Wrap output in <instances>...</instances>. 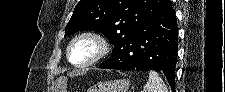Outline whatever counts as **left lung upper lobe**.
<instances>
[{
	"mask_svg": "<svg viewBox=\"0 0 225 92\" xmlns=\"http://www.w3.org/2000/svg\"><path fill=\"white\" fill-rule=\"evenodd\" d=\"M167 1L81 0L65 28V36L83 30L101 32L114 45V55Z\"/></svg>",
	"mask_w": 225,
	"mask_h": 92,
	"instance_id": "left-lung-upper-lobe-1",
	"label": "left lung upper lobe"
}]
</instances>
